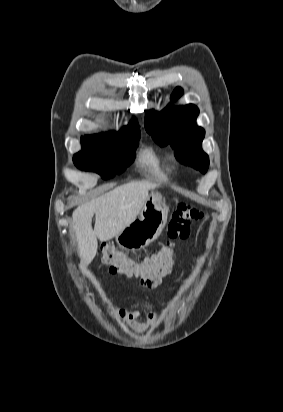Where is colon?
<instances>
[{
    "label": "colon",
    "instance_id": "1",
    "mask_svg": "<svg viewBox=\"0 0 283 412\" xmlns=\"http://www.w3.org/2000/svg\"><path fill=\"white\" fill-rule=\"evenodd\" d=\"M203 212L190 204H179L168 224L169 242L151 257L136 261L115 250L110 245L102 247V261L110 266L113 274H122L148 282L160 281L171 269L175 242L190 235L193 223L202 221Z\"/></svg>",
    "mask_w": 283,
    "mask_h": 412
}]
</instances>
